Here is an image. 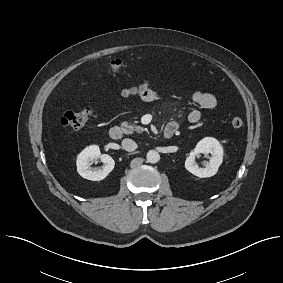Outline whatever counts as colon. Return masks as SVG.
<instances>
[{"mask_svg":"<svg viewBox=\"0 0 283 283\" xmlns=\"http://www.w3.org/2000/svg\"><path fill=\"white\" fill-rule=\"evenodd\" d=\"M126 66V63L120 59H114L108 64V68L117 72L125 70ZM93 113L94 111L90 107L76 112H67L60 118V124L71 131L79 130L89 122ZM231 124L234 128H241L244 125V121L236 116L232 118Z\"/></svg>","mask_w":283,"mask_h":283,"instance_id":"1","label":"colon"}]
</instances>
